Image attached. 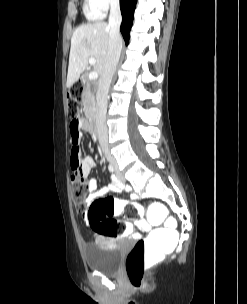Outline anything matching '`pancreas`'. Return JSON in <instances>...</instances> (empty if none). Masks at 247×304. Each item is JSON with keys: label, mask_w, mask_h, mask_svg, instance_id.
<instances>
[{"label": "pancreas", "mask_w": 247, "mask_h": 304, "mask_svg": "<svg viewBox=\"0 0 247 304\" xmlns=\"http://www.w3.org/2000/svg\"><path fill=\"white\" fill-rule=\"evenodd\" d=\"M89 87V85L87 84ZM82 105L83 110L87 116H91L95 110V96L94 93L90 91V88L87 90L84 88L82 92Z\"/></svg>", "instance_id": "cf45deb5"}]
</instances>
